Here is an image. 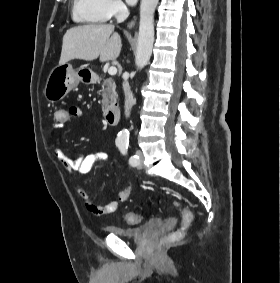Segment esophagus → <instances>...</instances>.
<instances>
[{"instance_id":"obj_1","label":"esophagus","mask_w":280,"mask_h":283,"mask_svg":"<svg viewBox=\"0 0 280 283\" xmlns=\"http://www.w3.org/2000/svg\"><path fill=\"white\" fill-rule=\"evenodd\" d=\"M135 23H136V19L134 18L127 24V27L132 28L135 25Z\"/></svg>"}]
</instances>
